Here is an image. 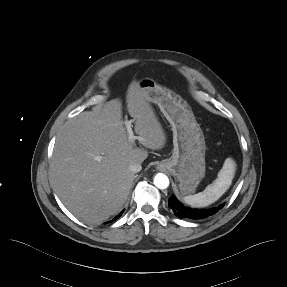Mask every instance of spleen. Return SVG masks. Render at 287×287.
<instances>
[{
  "label": "spleen",
  "instance_id": "spleen-1",
  "mask_svg": "<svg viewBox=\"0 0 287 287\" xmlns=\"http://www.w3.org/2000/svg\"><path fill=\"white\" fill-rule=\"evenodd\" d=\"M236 163L227 158L218 172V177L203 192L185 196L184 202L192 207H205L216 202L230 187L235 175Z\"/></svg>",
  "mask_w": 287,
  "mask_h": 287
}]
</instances>
